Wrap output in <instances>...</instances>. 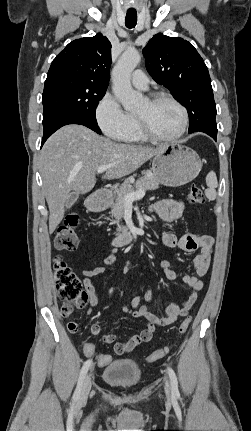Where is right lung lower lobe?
<instances>
[{
	"mask_svg": "<svg viewBox=\"0 0 251 431\" xmlns=\"http://www.w3.org/2000/svg\"><path fill=\"white\" fill-rule=\"evenodd\" d=\"M68 124L84 125L99 134L101 133V130L97 125V121H92L75 114H60L43 123L44 133L41 146L56 130Z\"/></svg>",
	"mask_w": 251,
	"mask_h": 431,
	"instance_id": "98d812e1",
	"label": "right lung lower lobe"
}]
</instances>
